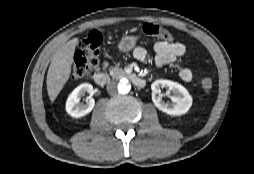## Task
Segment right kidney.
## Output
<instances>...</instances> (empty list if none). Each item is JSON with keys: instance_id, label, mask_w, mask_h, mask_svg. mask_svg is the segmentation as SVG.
<instances>
[{"instance_id": "obj_1", "label": "right kidney", "mask_w": 254, "mask_h": 174, "mask_svg": "<svg viewBox=\"0 0 254 174\" xmlns=\"http://www.w3.org/2000/svg\"><path fill=\"white\" fill-rule=\"evenodd\" d=\"M92 91L93 86L89 83H83L75 88L66 101V112L74 118H79L90 113L95 106L94 99L89 97L86 104L80 103V99L85 93L91 95Z\"/></svg>"}]
</instances>
